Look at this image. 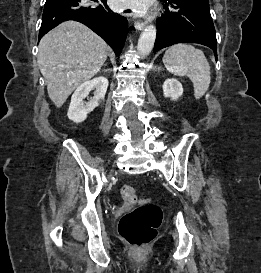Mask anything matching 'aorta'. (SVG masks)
<instances>
[{
	"instance_id": "aorta-1",
	"label": "aorta",
	"mask_w": 261,
	"mask_h": 273,
	"mask_svg": "<svg viewBox=\"0 0 261 273\" xmlns=\"http://www.w3.org/2000/svg\"><path fill=\"white\" fill-rule=\"evenodd\" d=\"M156 27L148 25L140 35L138 40L137 50L142 57H146L153 49L156 39Z\"/></svg>"
}]
</instances>
